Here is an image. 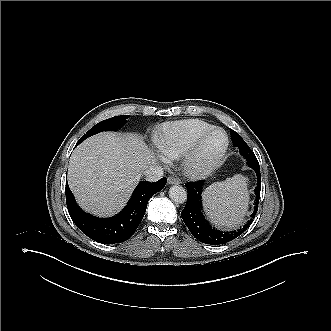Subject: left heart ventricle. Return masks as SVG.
Masks as SVG:
<instances>
[{"label":"left heart ventricle","instance_id":"1","mask_svg":"<svg viewBox=\"0 0 331 331\" xmlns=\"http://www.w3.org/2000/svg\"><path fill=\"white\" fill-rule=\"evenodd\" d=\"M224 144V136L221 132L213 133L204 143L202 156L206 159L214 157Z\"/></svg>","mask_w":331,"mask_h":331}]
</instances>
